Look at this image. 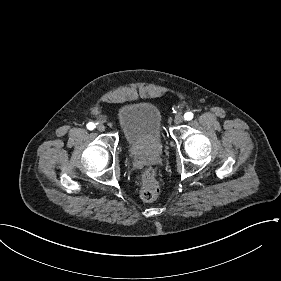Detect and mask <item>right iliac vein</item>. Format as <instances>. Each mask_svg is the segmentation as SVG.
Returning <instances> with one entry per match:
<instances>
[{
	"instance_id": "1",
	"label": "right iliac vein",
	"mask_w": 281,
	"mask_h": 281,
	"mask_svg": "<svg viewBox=\"0 0 281 281\" xmlns=\"http://www.w3.org/2000/svg\"><path fill=\"white\" fill-rule=\"evenodd\" d=\"M96 128H97V130L100 131V132L105 131V126H104L103 124H98Z\"/></svg>"
}]
</instances>
